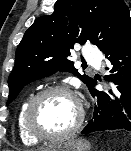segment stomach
<instances>
[{
	"label": "stomach",
	"mask_w": 131,
	"mask_h": 151,
	"mask_svg": "<svg viewBox=\"0 0 131 151\" xmlns=\"http://www.w3.org/2000/svg\"><path fill=\"white\" fill-rule=\"evenodd\" d=\"M90 149L91 145L87 140L72 138L50 146L44 151H90Z\"/></svg>",
	"instance_id": "0dacf381"
}]
</instances>
